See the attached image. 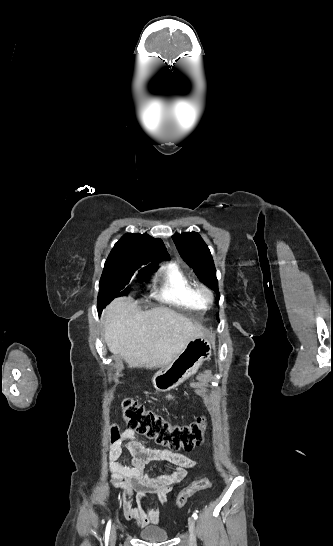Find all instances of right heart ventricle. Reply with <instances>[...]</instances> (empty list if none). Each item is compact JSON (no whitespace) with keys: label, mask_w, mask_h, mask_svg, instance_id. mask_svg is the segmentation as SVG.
<instances>
[{"label":"right heart ventricle","mask_w":333,"mask_h":546,"mask_svg":"<svg viewBox=\"0 0 333 546\" xmlns=\"http://www.w3.org/2000/svg\"><path fill=\"white\" fill-rule=\"evenodd\" d=\"M158 287L154 296L159 300L190 310H204L206 304L200 299L196 284L176 264L171 263L158 272Z\"/></svg>","instance_id":"1"}]
</instances>
